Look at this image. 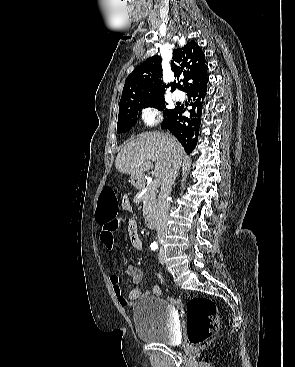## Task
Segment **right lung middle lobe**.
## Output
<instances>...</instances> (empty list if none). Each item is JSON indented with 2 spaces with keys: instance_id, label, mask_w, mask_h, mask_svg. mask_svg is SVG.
<instances>
[{
  "instance_id": "1",
  "label": "right lung middle lobe",
  "mask_w": 295,
  "mask_h": 367,
  "mask_svg": "<svg viewBox=\"0 0 295 367\" xmlns=\"http://www.w3.org/2000/svg\"><path fill=\"white\" fill-rule=\"evenodd\" d=\"M154 107L160 111H162L166 107V102L164 100V96L146 100V101H132L124 104L119 109L118 116V124H117V132H127L129 131L137 122V112L142 108ZM175 109H166L163 112L164 116H168Z\"/></svg>"
}]
</instances>
